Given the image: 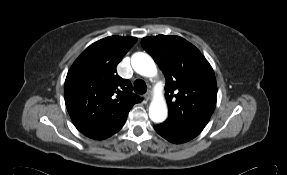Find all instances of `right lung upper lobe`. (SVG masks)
Returning <instances> with one entry per match:
<instances>
[{
	"mask_svg": "<svg viewBox=\"0 0 287 175\" xmlns=\"http://www.w3.org/2000/svg\"><path fill=\"white\" fill-rule=\"evenodd\" d=\"M137 41L110 36L90 45L71 66L64 85L65 103L76 128L91 139L103 140L118 132L134 104L129 80L116 66Z\"/></svg>",
	"mask_w": 287,
	"mask_h": 175,
	"instance_id": "obj_1",
	"label": "right lung upper lobe"
}]
</instances>
